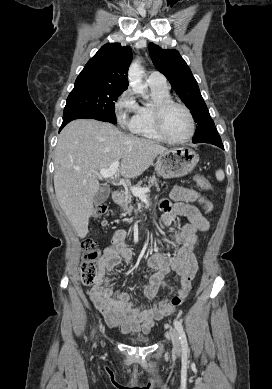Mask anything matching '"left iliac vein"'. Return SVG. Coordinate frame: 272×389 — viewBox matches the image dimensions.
Segmentation results:
<instances>
[{
	"label": "left iliac vein",
	"instance_id": "obj_1",
	"mask_svg": "<svg viewBox=\"0 0 272 389\" xmlns=\"http://www.w3.org/2000/svg\"><path fill=\"white\" fill-rule=\"evenodd\" d=\"M169 336L173 344V351L179 353L181 351L180 338L175 328H171Z\"/></svg>",
	"mask_w": 272,
	"mask_h": 389
}]
</instances>
